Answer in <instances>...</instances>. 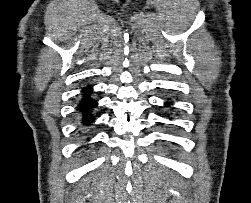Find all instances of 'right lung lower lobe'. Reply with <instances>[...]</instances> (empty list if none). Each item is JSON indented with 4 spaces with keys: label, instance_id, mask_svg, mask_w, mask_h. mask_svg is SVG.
I'll return each instance as SVG.
<instances>
[{
    "label": "right lung lower lobe",
    "instance_id": "98d812e1",
    "mask_svg": "<svg viewBox=\"0 0 251 203\" xmlns=\"http://www.w3.org/2000/svg\"><path fill=\"white\" fill-rule=\"evenodd\" d=\"M92 93L91 86L83 87L81 98L77 105V113L80 116V122L85 128L95 121L94 109L97 107L98 103L91 97Z\"/></svg>",
    "mask_w": 251,
    "mask_h": 203
}]
</instances>
